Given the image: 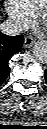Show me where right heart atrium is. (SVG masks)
I'll return each mask as SVG.
<instances>
[{
    "label": "right heart atrium",
    "instance_id": "obj_1",
    "mask_svg": "<svg viewBox=\"0 0 47 129\" xmlns=\"http://www.w3.org/2000/svg\"><path fill=\"white\" fill-rule=\"evenodd\" d=\"M5 10L16 30H23L33 22L34 17L18 0H7Z\"/></svg>",
    "mask_w": 47,
    "mask_h": 129
}]
</instances>
